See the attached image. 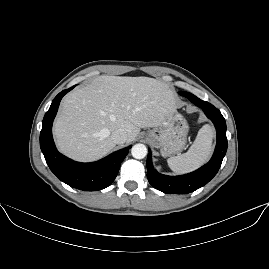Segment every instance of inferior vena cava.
<instances>
[{"instance_id":"inferior-vena-cava-1","label":"inferior vena cava","mask_w":269,"mask_h":269,"mask_svg":"<svg viewBox=\"0 0 269 269\" xmlns=\"http://www.w3.org/2000/svg\"><path fill=\"white\" fill-rule=\"evenodd\" d=\"M111 139L116 144H123L127 140V133L124 129H117L112 132Z\"/></svg>"}]
</instances>
